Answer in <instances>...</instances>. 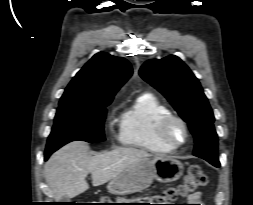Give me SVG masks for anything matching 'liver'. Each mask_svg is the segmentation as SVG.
<instances>
[{
  "label": "liver",
  "mask_w": 253,
  "mask_h": 205,
  "mask_svg": "<svg viewBox=\"0 0 253 205\" xmlns=\"http://www.w3.org/2000/svg\"><path fill=\"white\" fill-rule=\"evenodd\" d=\"M147 157H151V154L133 147L117 148L90 156L86 142L74 141L49 158L44 166V174L55 200H61L85 192L89 188L86 181L89 173L93 186H100L114 179L137 160Z\"/></svg>",
  "instance_id": "1"
}]
</instances>
